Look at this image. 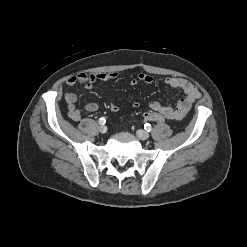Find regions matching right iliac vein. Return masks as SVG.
Instances as JSON below:
<instances>
[{
  "mask_svg": "<svg viewBox=\"0 0 247 247\" xmlns=\"http://www.w3.org/2000/svg\"><path fill=\"white\" fill-rule=\"evenodd\" d=\"M99 131H100L102 134H104V133L107 132V127H106V126H100V127H99Z\"/></svg>",
  "mask_w": 247,
  "mask_h": 247,
  "instance_id": "63e3f726",
  "label": "right iliac vein"
}]
</instances>
